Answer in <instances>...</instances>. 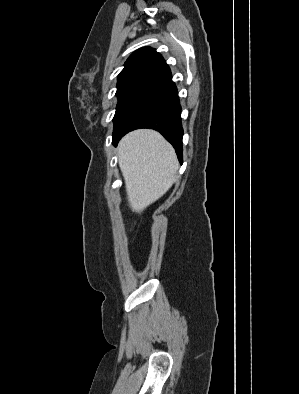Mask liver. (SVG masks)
<instances>
[{"mask_svg":"<svg viewBox=\"0 0 299 394\" xmlns=\"http://www.w3.org/2000/svg\"><path fill=\"white\" fill-rule=\"evenodd\" d=\"M118 158L129 206L138 213L170 189L179 168L173 147L160 133L149 129L123 137Z\"/></svg>","mask_w":299,"mask_h":394,"instance_id":"obj_1","label":"liver"}]
</instances>
